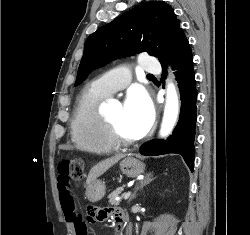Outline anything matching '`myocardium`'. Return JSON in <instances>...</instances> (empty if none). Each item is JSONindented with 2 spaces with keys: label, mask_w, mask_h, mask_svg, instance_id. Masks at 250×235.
Returning a JSON list of instances; mask_svg holds the SVG:
<instances>
[{
  "label": "myocardium",
  "mask_w": 250,
  "mask_h": 235,
  "mask_svg": "<svg viewBox=\"0 0 250 235\" xmlns=\"http://www.w3.org/2000/svg\"><path fill=\"white\" fill-rule=\"evenodd\" d=\"M104 120L107 126L108 134L112 143L119 148H128L139 142V140H126L120 133L116 124L109 119L107 116H104Z\"/></svg>",
  "instance_id": "f54148a6"
}]
</instances>
